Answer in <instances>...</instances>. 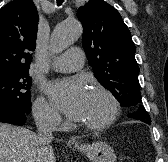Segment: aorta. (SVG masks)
Instances as JSON below:
<instances>
[{
  "mask_svg": "<svg viewBox=\"0 0 168 162\" xmlns=\"http://www.w3.org/2000/svg\"><path fill=\"white\" fill-rule=\"evenodd\" d=\"M81 26L78 21H65L56 26L50 40L52 53H60L71 46L81 36Z\"/></svg>",
  "mask_w": 168,
  "mask_h": 162,
  "instance_id": "762f6f07",
  "label": "aorta"
}]
</instances>
